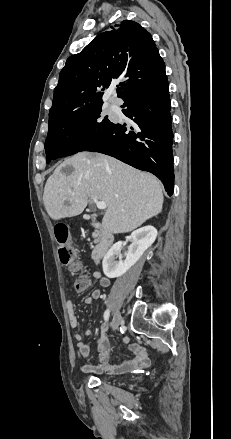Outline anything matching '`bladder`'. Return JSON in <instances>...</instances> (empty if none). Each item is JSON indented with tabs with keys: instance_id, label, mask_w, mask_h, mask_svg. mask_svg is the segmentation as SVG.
<instances>
[{
	"instance_id": "bladder-1",
	"label": "bladder",
	"mask_w": 231,
	"mask_h": 439,
	"mask_svg": "<svg viewBox=\"0 0 231 439\" xmlns=\"http://www.w3.org/2000/svg\"><path fill=\"white\" fill-rule=\"evenodd\" d=\"M118 380V378H113V381H117Z\"/></svg>"
}]
</instances>
